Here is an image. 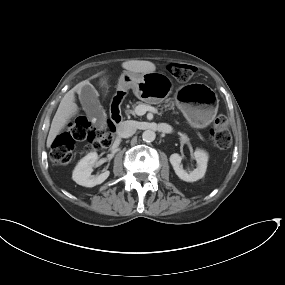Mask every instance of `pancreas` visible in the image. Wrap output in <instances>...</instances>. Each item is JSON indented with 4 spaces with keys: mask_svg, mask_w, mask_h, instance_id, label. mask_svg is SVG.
<instances>
[{
    "mask_svg": "<svg viewBox=\"0 0 285 285\" xmlns=\"http://www.w3.org/2000/svg\"><path fill=\"white\" fill-rule=\"evenodd\" d=\"M166 107H169V109H173L174 108V102H172V101H170V99H167L166 100ZM140 105L141 103L140 102H137L136 104H134V105H132V107H133V110H131V109H127L126 111H125V113H126V115H130V114H132V115H135L136 113H135V107H136V105Z\"/></svg>",
    "mask_w": 285,
    "mask_h": 285,
    "instance_id": "obj_1",
    "label": "pancreas"
}]
</instances>
